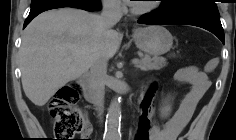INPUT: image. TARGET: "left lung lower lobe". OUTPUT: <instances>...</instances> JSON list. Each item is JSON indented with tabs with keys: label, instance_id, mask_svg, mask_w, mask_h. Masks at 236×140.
Listing matches in <instances>:
<instances>
[{
	"label": "left lung lower lobe",
	"instance_id": "left-lung-lower-lobe-1",
	"mask_svg": "<svg viewBox=\"0 0 236 140\" xmlns=\"http://www.w3.org/2000/svg\"><path fill=\"white\" fill-rule=\"evenodd\" d=\"M141 24H178L193 25L204 28L215 34L224 44V30L220 17H211L199 14L163 15L160 11L146 15L138 20Z\"/></svg>",
	"mask_w": 236,
	"mask_h": 140
}]
</instances>
